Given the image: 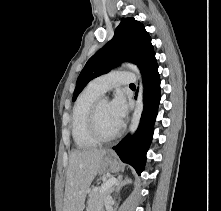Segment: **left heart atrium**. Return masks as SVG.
Returning a JSON list of instances; mask_svg holds the SVG:
<instances>
[{
	"label": "left heart atrium",
	"instance_id": "1",
	"mask_svg": "<svg viewBox=\"0 0 221 211\" xmlns=\"http://www.w3.org/2000/svg\"><path fill=\"white\" fill-rule=\"evenodd\" d=\"M109 109L116 125L120 128L128 112L126 98L121 92H118L109 103Z\"/></svg>",
	"mask_w": 221,
	"mask_h": 211
}]
</instances>
